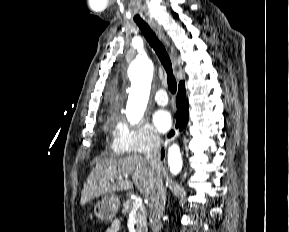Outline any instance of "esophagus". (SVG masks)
Masks as SVG:
<instances>
[{
	"label": "esophagus",
	"mask_w": 289,
	"mask_h": 232,
	"mask_svg": "<svg viewBox=\"0 0 289 232\" xmlns=\"http://www.w3.org/2000/svg\"><path fill=\"white\" fill-rule=\"evenodd\" d=\"M150 26H151V28L156 32V34L164 41V43H165L167 46H169V42H168V40L166 39L164 33L161 31V29H160L157 25H155V24H151Z\"/></svg>",
	"instance_id": "1"
}]
</instances>
